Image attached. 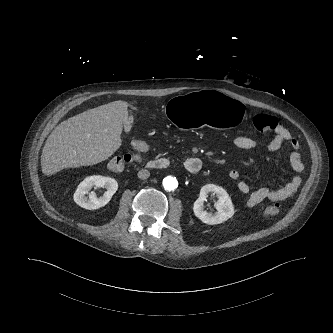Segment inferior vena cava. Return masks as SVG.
<instances>
[{"label": "inferior vena cava", "mask_w": 333, "mask_h": 333, "mask_svg": "<svg viewBox=\"0 0 333 333\" xmlns=\"http://www.w3.org/2000/svg\"><path fill=\"white\" fill-rule=\"evenodd\" d=\"M150 176V172L146 169H142L138 172V178L144 180Z\"/></svg>", "instance_id": "602c4592"}]
</instances>
